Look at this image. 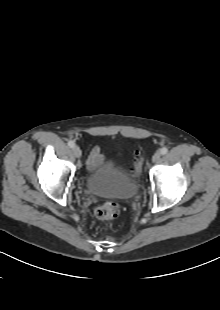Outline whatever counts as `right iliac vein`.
Masks as SVG:
<instances>
[{"mask_svg":"<svg viewBox=\"0 0 220 310\" xmlns=\"http://www.w3.org/2000/svg\"><path fill=\"white\" fill-rule=\"evenodd\" d=\"M72 152L76 158H80L82 155L81 149L78 146H74Z\"/></svg>","mask_w":220,"mask_h":310,"instance_id":"right-iliac-vein-1","label":"right iliac vein"}]
</instances>
